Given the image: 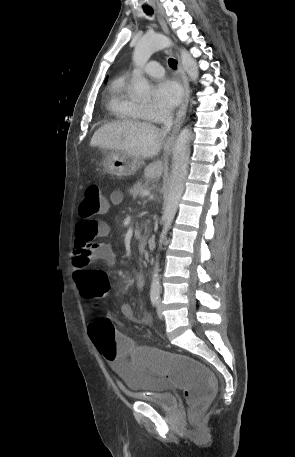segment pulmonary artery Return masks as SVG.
<instances>
[{
	"label": "pulmonary artery",
	"instance_id": "e3ab8cb5",
	"mask_svg": "<svg viewBox=\"0 0 295 457\" xmlns=\"http://www.w3.org/2000/svg\"><path fill=\"white\" fill-rule=\"evenodd\" d=\"M142 72L151 77H161L164 74L163 67L156 61L149 62L143 69ZM139 71L134 70L133 75H136Z\"/></svg>",
	"mask_w": 295,
	"mask_h": 457
}]
</instances>
